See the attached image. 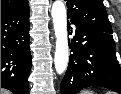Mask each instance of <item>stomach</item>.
I'll use <instances>...</instances> for the list:
<instances>
[{"instance_id":"1","label":"stomach","mask_w":121,"mask_h":94,"mask_svg":"<svg viewBox=\"0 0 121 94\" xmlns=\"http://www.w3.org/2000/svg\"><path fill=\"white\" fill-rule=\"evenodd\" d=\"M82 94H93V93H91L89 91H84Z\"/></svg>"}]
</instances>
